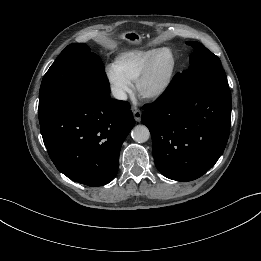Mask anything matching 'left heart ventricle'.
I'll return each mask as SVG.
<instances>
[{
    "label": "left heart ventricle",
    "instance_id": "b2bd125f",
    "mask_svg": "<svg viewBox=\"0 0 261 261\" xmlns=\"http://www.w3.org/2000/svg\"><path fill=\"white\" fill-rule=\"evenodd\" d=\"M172 64L171 56L168 52L161 53L155 60L150 82L151 84H157L161 82L165 76L167 75L168 71L170 70Z\"/></svg>",
    "mask_w": 261,
    "mask_h": 261
}]
</instances>
